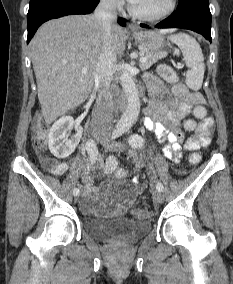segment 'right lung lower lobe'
<instances>
[{"label":"right lung lower lobe","mask_w":233,"mask_h":284,"mask_svg":"<svg viewBox=\"0 0 233 284\" xmlns=\"http://www.w3.org/2000/svg\"><path fill=\"white\" fill-rule=\"evenodd\" d=\"M99 0H32L27 14L28 38L31 40L41 24L66 15L91 13ZM120 25H125L126 20L118 19Z\"/></svg>","instance_id":"1"}]
</instances>
